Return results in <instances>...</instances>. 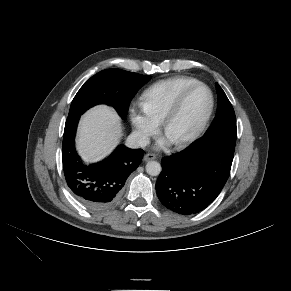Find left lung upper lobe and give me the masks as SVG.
Here are the masks:
<instances>
[{"label": "left lung upper lobe", "mask_w": 291, "mask_h": 291, "mask_svg": "<svg viewBox=\"0 0 291 291\" xmlns=\"http://www.w3.org/2000/svg\"><path fill=\"white\" fill-rule=\"evenodd\" d=\"M216 91L218 94L217 113L204 136L221 131L237 132L234 109L218 83H216Z\"/></svg>", "instance_id": "5c2ea615"}]
</instances>
